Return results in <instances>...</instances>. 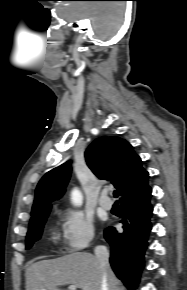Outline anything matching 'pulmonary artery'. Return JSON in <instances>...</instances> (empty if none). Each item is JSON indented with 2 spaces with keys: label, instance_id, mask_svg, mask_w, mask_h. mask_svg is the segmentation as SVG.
I'll list each match as a JSON object with an SVG mask.
<instances>
[{
  "label": "pulmonary artery",
  "instance_id": "1",
  "mask_svg": "<svg viewBox=\"0 0 187 290\" xmlns=\"http://www.w3.org/2000/svg\"><path fill=\"white\" fill-rule=\"evenodd\" d=\"M98 202H99V205L105 210H110L112 208V205H113L112 201L108 198L106 192L101 194Z\"/></svg>",
  "mask_w": 187,
  "mask_h": 290
}]
</instances>
